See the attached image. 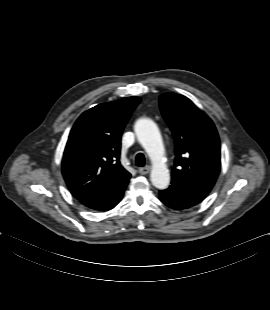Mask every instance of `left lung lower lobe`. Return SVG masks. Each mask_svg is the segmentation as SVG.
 I'll return each mask as SVG.
<instances>
[{
  "label": "left lung lower lobe",
  "mask_w": 270,
  "mask_h": 310,
  "mask_svg": "<svg viewBox=\"0 0 270 310\" xmlns=\"http://www.w3.org/2000/svg\"><path fill=\"white\" fill-rule=\"evenodd\" d=\"M212 188L191 185L172 179L168 189L159 192L161 201L175 210L191 208L200 203Z\"/></svg>",
  "instance_id": "left-lung-lower-lobe-1"
}]
</instances>
